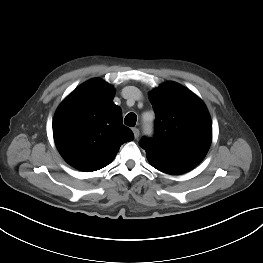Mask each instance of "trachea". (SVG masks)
Instances as JSON below:
<instances>
[{
	"mask_svg": "<svg viewBox=\"0 0 263 263\" xmlns=\"http://www.w3.org/2000/svg\"><path fill=\"white\" fill-rule=\"evenodd\" d=\"M137 116L135 113H129L124 119V123L127 126L133 127L136 124Z\"/></svg>",
	"mask_w": 263,
	"mask_h": 263,
	"instance_id": "3493384b",
	"label": "trachea"
}]
</instances>
